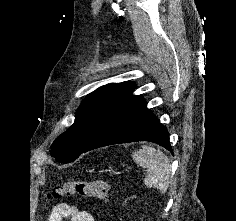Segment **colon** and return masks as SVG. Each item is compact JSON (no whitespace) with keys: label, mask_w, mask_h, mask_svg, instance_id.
Here are the masks:
<instances>
[{"label":"colon","mask_w":236,"mask_h":221,"mask_svg":"<svg viewBox=\"0 0 236 221\" xmlns=\"http://www.w3.org/2000/svg\"><path fill=\"white\" fill-rule=\"evenodd\" d=\"M78 195L83 198L109 200L112 190L105 181L69 180L47 193L46 197L58 199L64 196Z\"/></svg>","instance_id":"1"}]
</instances>
